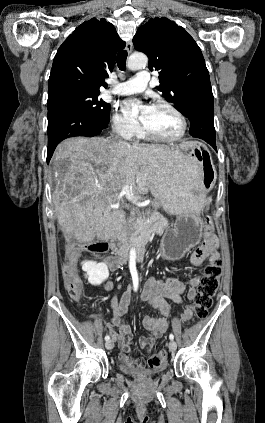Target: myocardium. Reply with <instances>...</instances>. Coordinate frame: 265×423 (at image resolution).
I'll use <instances>...</instances> for the list:
<instances>
[{
  "mask_svg": "<svg viewBox=\"0 0 265 423\" xmlns=\"http://www.w3.org/2000/svg\"><path fill=\"white\" fill-rule=\"evenodd\" d=\"M151 107H164L169 109L170 111H172L180 120L181 122V131L177 136L174 137H165V136H161L158 135L152 131H150L143 123L141 124V130L144 136L155 140V141H159V142H165V143H174V142H178L180 140H182L186 133H187V129H188V122L187 119L185 117V115L173 104L166 102V101H157L155 103H153L151 105Z\"/></svg>",
  "mask_w": 265,
  "mask_h": 423,
  "instance_id": "f54148a6",
  "label": "myocardium"
}]
</instances>
